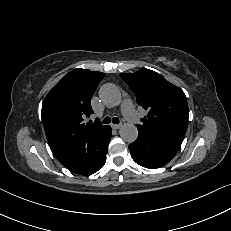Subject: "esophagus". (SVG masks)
Instances as JSON below:
<instances>
[{"instance_id": "34e87169", "label": "esophagus", "mask_w": 231, "mask_h": 231, "mask_svg": "<svg viewBox=\"0 0 231 231\" xmlns=\"http://www.w3.org/2000/svg\"><path fill=\"white\" fill-rule=\"evenodd\" d=\"M111 127L115 130L119 129L121 127V124H112Z\"/></svg>"}]
</instances>
